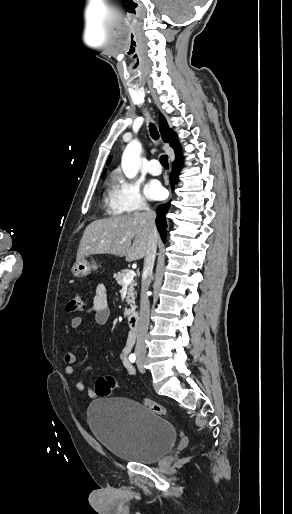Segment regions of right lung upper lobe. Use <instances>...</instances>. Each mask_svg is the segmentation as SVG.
<instances>
[{
    "instance_id": "cb5924a9",
    "label": "right lung upper lobe",
    "mask_w": 292,
    "mask_h": 514,
    "mask_svg": "<svg viewBox=\"0 0 292 514\" xmlns=\"http://www.w3.org/2000/svg\"><path fill=\"white\" fill-rule=\"evenodd\" d=\"M159 126H160V132H161L163 141L166 143H169L170 146L174 149L175 154H176V159L181 157V154L179 151L180 146H179L177 136L170 129V127L168 126V124L166 122V119L164 118V116L162 114H160V117H159ZM111 159H112V157L109 158L107 164H109L111 162ZM105 172H106V170L104 171L103 174H105Z\"/></svg>"
}]
</instances>
